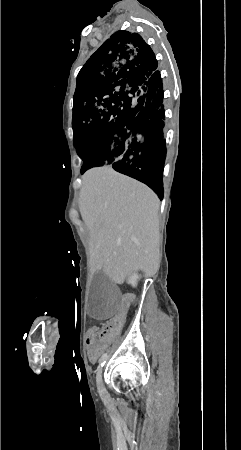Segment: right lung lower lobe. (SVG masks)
Listing matches in <instances>:
<instances>
[{"label":"right lung lower lobe","mask_w":241,"mask_h":450,"mask_svg":"<svg viewBox=\"0 0 241 450\" xmlns=\"http://www.w3.org/2000/svg\"><path fill=\"white\" fill-rule=\"evenodd\" d=\"M145 108L141 115L125 125L118 127L105 136L92 150L89 158H99L106 150V146L130 134H140L143 141L132 148L120 160L114 162L112 167L125 175L133 177L148 185L160 199L163 198V169L166 157V146L163 138L165 121L164 91L160 72L156 70L144 82ZM87 133L77 136L78 154L84 151L86 144L82 143ZM84 154H87L85 151Z\"/></svg>","instance_id":"obj_1"}]
</instances>
